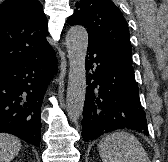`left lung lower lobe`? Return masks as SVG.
Returning <instances> with one entry per match:
<instances>
[{
    "instance_id": "left-lung-lower-lobe-1",
    "label": "left lung lower lobe",
    "mask_w": 168,
    "mask_h": 162,
    "mask_svg": "<svg viewBox=\"0 0 168 162\" xmlns=\"http://www.w3.org/2000/svg\"><path fill=\"white\" fill-rule=\"evenodd\" d=\"M86 71L89 74L83 109V140H94L117 129L149 135L131 62L89 40Z\"/></svg>"
}]
</instances>
